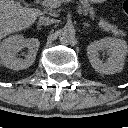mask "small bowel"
<instances>
[{
	"instance_id": "small-bowel-1",
	"label": "small bowel",
	"mask_w": 128,
	"mask_h": 128,
	"mask_svg": "<svg viewBox=\"0 0 128 128\" xmlns=\"http://www.w3.org/2000/svg\"><path fill=\"white\" fill-rule=\"evenodd\" d=\"M93 3H102L105 2L106 0H90Z\"/></svg>"
}]
</instances>
